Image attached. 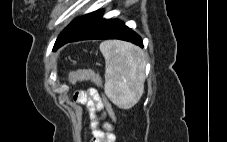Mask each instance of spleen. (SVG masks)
I'll list each match as a JSON object with an SVG mask.
<instances>
[{"instance_id": "1", "label": "spleen", "mask_w": 227, "mask_h": 142, "mask_svg": "<svg viewBox=\"0 0 227 142\" xmlns=\"http://www.w3.org/2000/svg\"><path fill=\"white\" fill-rule=\"evenodd\" d=\"M100 51L106 63L105 94L118 107L131 108L144 91V52L131 43L116 40L102 42Z\"/></svg>"}]
</instances>
